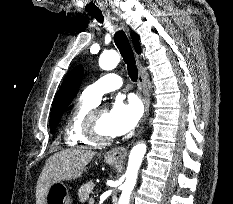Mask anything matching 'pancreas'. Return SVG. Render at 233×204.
Wrapping results in <instances>:
<instances>
[{"instance_id":"1","label":"pancreas","mask_w":233,"mask_h":204,"mask_svg":"<svg viewBox=\"0 0 233 204\" xmlns=\"http://www.w3.org/2000/svg\"><path fill=\"white\" fill-rule=\"evenodd\" d=\"M93 188H94V183L92 181L83 184L79 188L78 197L82 203L86 202L89 199V195L92 192ZM89 204H93V203L89 200Z\"/></svg>"}]
</instances>
